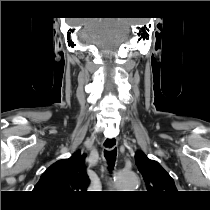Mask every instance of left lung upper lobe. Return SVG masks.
<instances>
[{
  "label": "left lung upper lobe",
  "instance_id": "1",
  "mask_svg": "<svg viewBox=\"0 0 210 210\" xmlns=\"http://www.w3.org/2000/svg\"><path fill=\"white\" fill-rule=\"evenodd\" d=\"M135 163L149 192L164 194L176 191L173 179L158 162L150 160L142 152H137Z\"/></svg>",
  "mask_w": 210,
  "mask_h": 210
}]
</instances>
